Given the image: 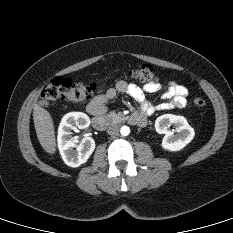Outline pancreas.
Wrapping results in <instances>:
<instances>
[{
    "label": "pancreas",
    "instance_id": "obj_1",
    "mask_svg": "<svg viewBox=\"0 0 233 233\" xmlns=\"http://www.w3.org/2000/svg\"><path fill=\"white\" fill-rule=\"evenodd\" d=\"M108 117H110L112 120L116 122H120L123 119L121 114H116L115 112H110L108 114Z\"/></svg>",
    "mask_w": 233,
    "mask_h": 233
}]
</instances>
